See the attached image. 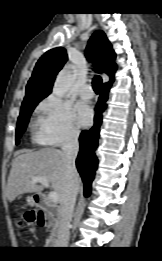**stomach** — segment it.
I'll return each instance as SVG.
<instances>
[{
  "instance_id": "stomach-1",
  "label": "stomach",
  "mask_w": 162,
  "mask_h": 261,
  "mask_svg": "<svg viewBox=\"0 0 162 261\" xmlns=\"http://www.w3.org/2000/svg\"><path fill=\"white\" fill-rule=\"evenodd\" d=\"M27 202H28V204H30V205H34V203H35L33 197H28V198H27Z\"/></svg>"
}]
</instances>
